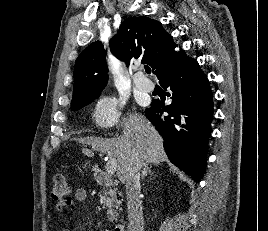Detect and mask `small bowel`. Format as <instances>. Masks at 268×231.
Returning a JSON list of instances; mask_svg holds the SVG:
<instances>
[{
	"instance_id": "small-bowel-1",
	"label": "small bowel",
	"mask_w": 268,
	"mask_h": 231,
	"mask_svg": "<svg viewBox=\"0 0 268 231\" xmlns=\"http://www.w3.org/2000/svg\"><path fill=\"white\" fill-rule=\"evenodd\" d=\"M87 198V191L83 187H77L73 190V199L78 202H83ZM66 204H59L58 208L62 209ZM63 231H68V228H64Z\"/></svg>"
}]
</instances>
